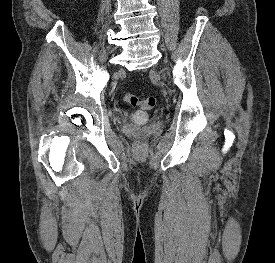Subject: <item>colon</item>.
<instances>
[{"instance_id":"5ec220e1","label":"colon","mask_w":275,"mask_h":263,"mask_svg":"<svg viewBox=\"0 0 275 263\" xmlns=\"http://www.w3.org/2000/svg\"><path fill=\"white\" fill-rule=\"evenodd\" d=\"M123 101L133 107H140L145 110H151L156 105V100L154 97L139 99L136 95L130 93L123 95ZM143 142V139L139 138L136 141V144L141 145Z\"/></svg>"}]
</instances>
